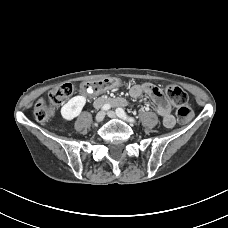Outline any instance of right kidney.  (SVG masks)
<instances>
[{
	"instance_id": "right-kidney-1",
	"label": "right kidney",
	"mask_w": 228,
	"mask_h": 228,
	"mask_svg": "<svg viewBox=\"0 0 228 228\" xmlns=\"http://www.w3.org/2000/svg\"><path fill=\"white\" fill-rule=\"evenodd\" d=\"M86 103V98L84 96H75L71 98L63 107L61 108V115L64 120L71 121L77 117L84 105Z\"/></svg>"
}]
</instances>
